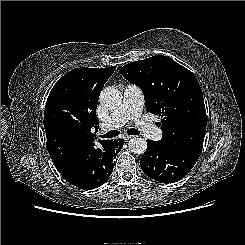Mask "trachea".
Masks as SVG:
<instances>
[{
	"instance_id": "3493384b",
	"label": "trachea",
	"mask_w": 245,
	"mask_h": 245,
	"mask_svg": "<svg viewBox=\"0 0 245 245\" xmlns=\"http://www.w3.org/2000/svg\"><path fill=\"white\" fill-rule=\"evenodd\" d=\"M127 133L129 135H137L139 134L140 132L138 131V129H134V128H131L127 131ZM119 135L118 131L116 130H111L109 132H107L106 134L104 135H100L101 138H113V137H117Z\"/></svg>"
}]
</instances>
